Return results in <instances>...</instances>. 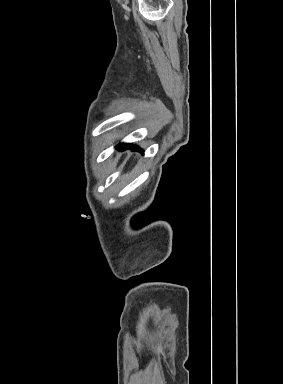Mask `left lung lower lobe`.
<instances>
[{"instance_id":"1","label":"left lung lower lobe","mask_w":283,"mask_h":384,"mask_svg":"<svg viewBox=\"0 0 283 384\" xmlns=\"http://www.w3.org/2000/svg\"><path fill=\"white\" fill-rule=\"evenodd\" d=\"M117 148L120 150V151H123V150H126V149H132V150H138V151H141L140 148H138L137 146H133L132 144H119L117 146Z\"/></svg>"}]
</instances>
